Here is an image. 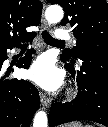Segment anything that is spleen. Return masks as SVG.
<instances>
[{
	"instance_id": "3e777b00",
	"label": "spleen",
	"mask_w": 108,
	"mask_h": 127,
	"mask_svg": "<svg viewBox=\"0 0 108 127\" xmlns=\"http://www.w3.org/2000/svg\"><path fill=\"white\" fill-rule=\"evenodd\" d=\"M86 127H92L91 125H86Z\"/></svg>"
}]
</instances>
